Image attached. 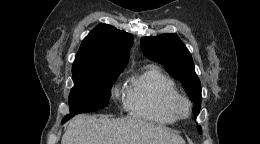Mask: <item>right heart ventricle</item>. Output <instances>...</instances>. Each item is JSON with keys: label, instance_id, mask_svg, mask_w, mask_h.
<instances>
[{"label": "right heart ventricle", "instance_id": "obj_1", "mask_svg": "<svg viewBox=\"0 0 260 144\" xmlns=\"http://www.w3.org/2000/svg\"><path fill=\"white\" fill-rule=\"evenodd\" d=\"M178 94L170 77L157 66L148 65L131 77L125 94V108L136 118L171 125L177 118L168 109V101Z\"/></svg>", "mask_w": 260, "mask_h": 144}]
</instances>
